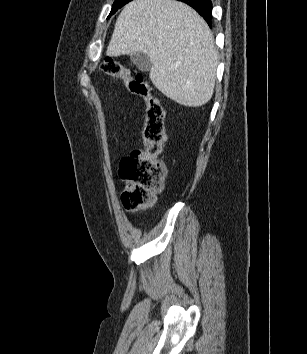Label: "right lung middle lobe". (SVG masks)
Wrapping results in <instances>:
<instances>
[{
    "label": "right lung middle lobe",
    "instance_id": "dd1d6c3e",
    "mask_svg": "<svg viewBox=\"0 0 307 354\" xmlns=\"http://www.w3.org/2000/svg\"><path fill=\"white\" fill-rule=\"evenodd\" d=\"M130 1H132V0H115L108 18L112 14H114L119 8H121L122 6H124L126 3L130 2Z\"/></svg>",
    "mask_w": 307,
    "mask_h": 354
}]
</instances>
